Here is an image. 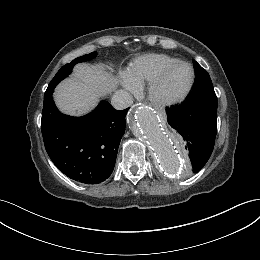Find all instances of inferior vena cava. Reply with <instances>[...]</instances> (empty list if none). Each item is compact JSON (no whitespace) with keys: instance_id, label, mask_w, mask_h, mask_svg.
<instances>
[{"instance_id":"602c4592","label":"inferior vena cava","mask_w":260,"mask_h":260,"mask_svg":"<svg viewBox=\"0 0 260 260\" xmlns=\"http://www.w3.org/2000/svg\"><path fill=\"white\" fill-rule=\"evenodd\" d=\"M133 103V97L130 93L124 90H117L112 98L111 105L117 110H123Z\"/></svg>"}]
</instances>
